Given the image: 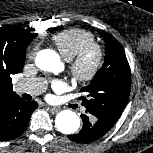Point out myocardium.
<instances>
[{
	"label": "myocardium",
	"mask_w": 153,
	"mask_h": 153,
	"mask_svg": "<svg viewBox=\"0 0 153 153\" xmlns=\"http://www.w3.org/2000/svg\"><path fill=\"white\" fill-rule=\"evenodd\" d=\"M91 55H93V60L87 66V60ZM104 59L105 51L101 44L95 41L85 44L69 62V71L73 81L79 85L92 82L101 71Z\"/></svg>",
	"instance_id": "obj_1"
}]
</instances>
